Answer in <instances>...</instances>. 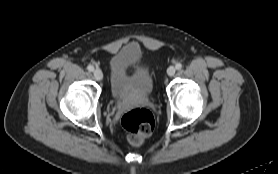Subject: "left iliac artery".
I'll return each mask as SVG.
<instances>
[{
  "mask_svg": "<svg viewBox=\"0 0 278 174\" xmlns=\"http://www.w3.org/2000/svg\"><path fill=\"white\" fill-rule=\"evenodd\" d=\"M175 67H176L177 70H180L182 68V64L181 63H177L175 65Z\"/></svg>",
  "mask_w": 278,
  "mask_h": 174,
  "instance_id": "left-iliac-artery-1",
  "label": "left iliac artery"
}]
</instances>
